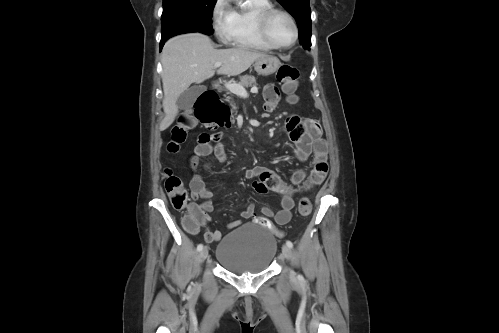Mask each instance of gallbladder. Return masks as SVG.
I'll return each mask as SVG.
<instances>
[{"instance_id":"obj_1","label":"gallbladder","mask_w":499,"mask_h":333,"mask_svg":"<svg viewBox=\"0 0 499 333\" xmlns=\"http://www.w3.org/2000/svg\"><path fill=\"white\" fill-rule=\"evenodd\" d=\"M206 90L205 86H192L185 90L177 99L178 108L189 110L196 99Z\"/></svg>"}]
</instances>
